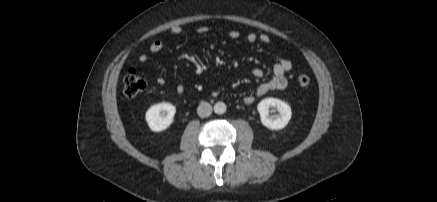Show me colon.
<instances>
[{
	"mask_svg": "<svg viewBox=\"0 0 437 202\" xmlns=\"http://www.w3.org/2000/svg\"><path fill=\"white\" fill-rule=\"evenodd\" d=\"M301 87H307L310 84V77L306 74H300L297 78ZM147 88V79L138 73L135 69H129L124 77V94L127 97H135Z\"/></svg>",
	"mask_w": 437,
	"mask_h": 202,
	"instance_id": "1",
	"label": "colon"
}]
</instances>
